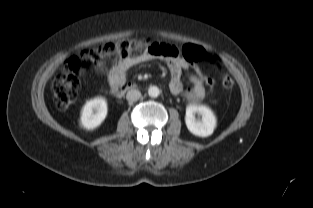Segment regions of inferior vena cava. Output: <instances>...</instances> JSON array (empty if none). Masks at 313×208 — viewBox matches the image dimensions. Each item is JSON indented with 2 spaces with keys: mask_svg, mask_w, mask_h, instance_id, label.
I'll list each match as a JSON object with an SVG mask.
<instances>
[{
  "mask_svg": "<svg viewBox=\"0 0 313 208\" xmlns=\"http://www.w3.org/2000/svg\"><path fill=\"white\" fill-rule=\"evenodd\" d=\"M141 97V92L137 89H131L126 94V99L130 102L137 101Z\"/></svg>",
  "mask_w": 313,
  "mask_h": 208,
  "instance_id": "602c4592",
  "label": "inferior vena cava"
}]
</instances>
